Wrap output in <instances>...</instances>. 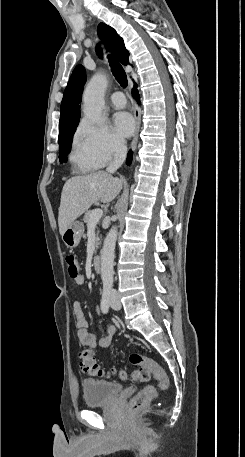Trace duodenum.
Returning a JSON list of instances; mask_svg holds the SVG:
<instances>
[{
    "label": "duodenum",
    "mask_w": 245,
    "mask_h": 457,
    "mask_svg": "<svg viewBox=\"0 0 245 457\" xmlns=\"http://www.w3.org/2000/svg\"><path fill=\"white\" fill-rule=\"evenodd\" d=\"M92 267L95 271H100L101 269V256L95 255L92 260Z\"/></svg>",
    "instance_id": "410a0bca"
}]
</instances>
